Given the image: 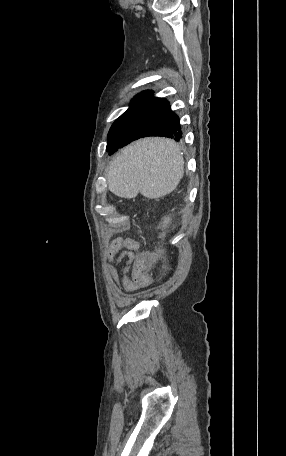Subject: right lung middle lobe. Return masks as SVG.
I'll list each match as a JSON object with an SVG mask.
<instances>
[{"label": "right lung middle lobe", "mask_w": 286, "mask_h": 456, "mask_svg": "<svg viewBox=\"0 0 286 456\" xmlns=\"http://www.w3.org/2000/svg\"><path fill=\"white\" fill-rule=\"evenodd\" d=\"M127 138V130L122 115L114 122L109 133L106 150L112 154L118 146Z\"/></svg>", "instance_id": "obj_1"}]
</instances>
